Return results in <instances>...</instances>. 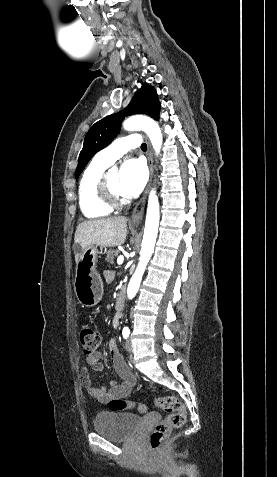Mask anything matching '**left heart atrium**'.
<instances>
[{
    "instance_id": "39dd6f15",
    "label": "left heart atrium",
    "mask_w": 277,
    "mask_h": 477,
    "mask_svg": "<svg viewBox=\"0 0 277 477\" xmlns=\"http://www.w3.org/2000/svg\"><path fill=\"white\" fill-rule=\"evenodd\" d=\"M120 192L126 197L137 196L144 188L148 173L141 160H126L120 169Z\"/></svg>"
}]
</instances>
